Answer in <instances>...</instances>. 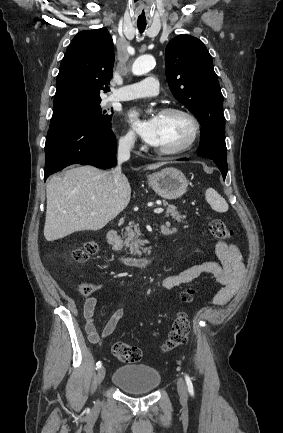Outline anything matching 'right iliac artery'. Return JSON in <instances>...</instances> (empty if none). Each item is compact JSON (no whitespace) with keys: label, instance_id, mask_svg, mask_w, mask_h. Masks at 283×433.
<instances>
[{"label":"right iliac artery","instance_id":"82829eb1","mask_svg":"<svg viewBox=\"0 0 283 433\" xmlns=\"http://www.w3.org/2000/svg\"><path fill=\"white\" fill-rule=\"evenodd\" d=\"M101 366H102L101 361H98V362L96 363V369H99Z\"/></svg>","mask_w":283,"mask_h":433}]
</instances>
